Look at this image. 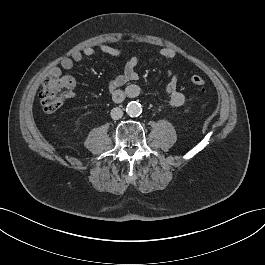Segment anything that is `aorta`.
Returning a JSON list of instances; mask_svg holds the SVG:
<instances>
[{
    "label": "aorta",
    "mask_w": 265,
    "mask_h": 265,
    "mask_svg": "<svg viewBox=\"0 0 265 265\" xmlns=\"http://www.w3.org/2000/svg\"><path fill=\"white\" fill-rule=\"evenodd\" d=\"M126 113L130 117H138L142 113L141 104L136 101H131L126 106Z\"/></svg>",
    "instance_id": "aorta-1"
}]
</instances>
